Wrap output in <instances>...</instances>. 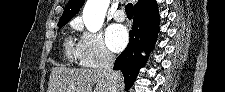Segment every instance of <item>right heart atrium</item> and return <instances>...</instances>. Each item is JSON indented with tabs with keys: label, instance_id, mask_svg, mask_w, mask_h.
<instances>
[{
	"label": "right heart atrium",
	"instance_id": "d8ad5b80",
	"mask_svg": "<svg viewBox=\"0 0 225 92\" xmlns=\"http://www.w3.org/2000/svg\"><path fill=\"white\" fill-rule=\"evenodd\" d=\"M76 29L79 31L76 56L81 66L98 67L112 58L100 32L85 30L79 23L76 25Z\"/></svg>",
	"mask_w": 225,
	"mask_h": 92
}]
</instances>
